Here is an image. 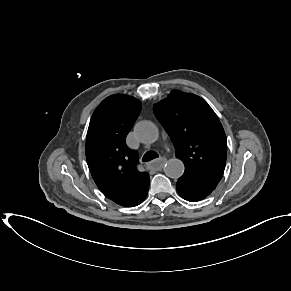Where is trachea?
I'll use <instances>...</instances> for the list:
<instances>
[{
    "instance_id": "3493384b",
    "label": "trachea",
    "mask_w": 291,
    "mask_h": 291,
    "mask_svg": "<svg viewBox=\"0 0 291 291\" xmlns=\"http://www.w3.org/2000/svg\"><path fill=\"white\" fill-rule=\"evenodd\" d=\"M155 158H158V154L154 151H148L144 154L143 158H142V161L143 162H148V161H151Z\"/></svg>"
}]
</instances>
